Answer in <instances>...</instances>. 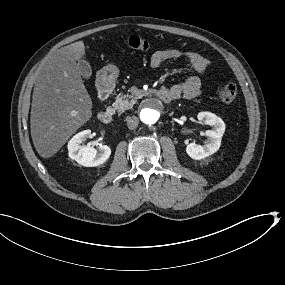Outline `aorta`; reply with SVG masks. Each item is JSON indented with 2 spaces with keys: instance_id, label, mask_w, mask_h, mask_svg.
<instances>
[{
  "instance_id": "obj_1",
  "label": "aorta",
  "mask_w": 285,
  "mask_h": 285,
  "mask_svg": "<svg viewBox=\"0 0 285 285\" xmlns=\"http://www.w3.org/2000/svg\"><path fill=\"white\" fill-rule=\"evenodd\" d=\"M166 114V104L156 96L146 97L138 107L139 119L146 126L153 127L159 125L166 117Z\"/></svg>"
}]
</instances>
